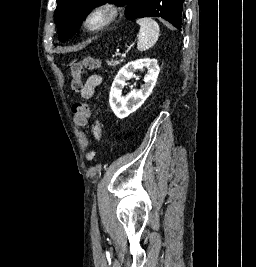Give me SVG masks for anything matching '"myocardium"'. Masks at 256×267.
I'll return each mask as SVG.
<instances>
[{"label": "myocardium", "mask_w": 256, "mask_h": 267, "mask_svg": "<svg viewBox=\"0 0 256 267\" xmlns=\"http://www.w3.org/2000/svg\"><path fill=\"white\" fill-rule=\"evenodd\" d=\"M118 8L105 4L94 8L83 20V28L89 33H98L108 28L117 18Z\"/></svg>", "instance_id": "f54148a6"}]
</instances>
